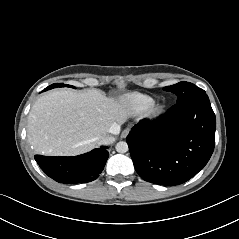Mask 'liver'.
Segmentation results:
<instances>
[{
  "mask_svg": "<svg viewBox=\"0 0 239 239\" xmlns=\"http://www.w3.org/2000/svg\"><path fill=\"white\" fill-rule=\"evenodd\" d=\"M131 111L122 99L99 89H59L42 95L28 115L27 138L38 153L75 156L96 148Z\"/></svg>",
  "mask_w": 239,
  "mask_h": 239,
  "instance_id": "obj_1",
  "label": "liver"
}]
</instances>
